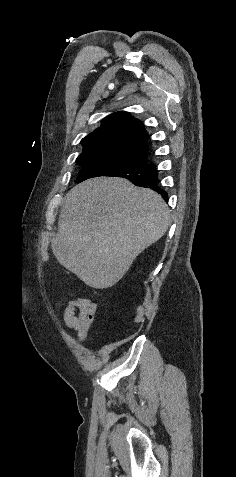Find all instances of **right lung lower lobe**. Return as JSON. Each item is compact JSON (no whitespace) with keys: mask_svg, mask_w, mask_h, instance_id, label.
Returning a JSON list of instances; mask_svg holds the SVG:
<instances>
[{"mask_svg":"<svg viewBox=\"0 0 236 477\" xmlns=\"http://www.w3.org/2000/svg\"><path fill=\"white\" fill-rule=\"evenodd\" d=\"M109 176L126 178L136 186L151 188L159 192L165 200L168 199L167 193L159 187L157 168L147 158L131 166L121 168Z\"/></svg>","mask_w":236,"mask_h":477,"instance_id":"right-lung-lower-lobe-1","label":"right lung lower lobe"}]
</instances>
